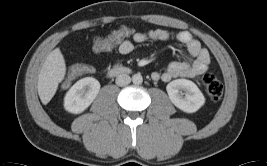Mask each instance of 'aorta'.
Segmentation results:
<instances>
[{"mask_svg":"<svg viewBox=\"0 0 267 166\" xmlns=\"http://www.w3.org/2000/svg\"><path fill=\"white\" fill-rule=\"evenodd\" d=\"M132 82L134 83V84H141L142 82H143V77H142V75L140 74V73H137V74H134L133 76H132Z\"/></svg>","mask_w":267,"mask_h":166,"instance_id":"obj_1","label":"aorta"}]
</instances>
